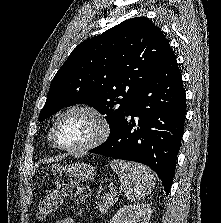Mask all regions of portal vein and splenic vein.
Masks as SVG:
<instances>
[{
  "mask_svg": "<svg viewBox=\"0 0 221 223\" xmlns=\"http://www.w3.org/2000/svg\"><path fill=\"white\" fill-rule=\"evenodd\" d=\"M110 190H112V191H113L114 189H113V188H110Z\"/></svg>",
  "mask_w": 221,
  "mask_h": 223,
  "instance_id": "1",
  "label": "portal vein and splenic vein"
}]
</instances>
